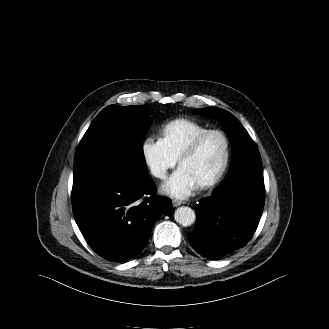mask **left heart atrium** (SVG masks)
Segmentation results:
<instances>
[{
  "instance_id": "obj_1",
  "label": "left heart atrium",
  "mask_w": 329,
  "mask_h": 329,
  "mask_svg": "<svg viewBox=\"0 0 329 329\" xmlns=\"http://www.w3.org/2000/svg\"><path fill=\"white\" fill-rule=\"evenodd\" d=\"M199 184L182 167H179L163 184L162 191L175 198H186L194 193Z\"/></svg>"
}]
</instances>
